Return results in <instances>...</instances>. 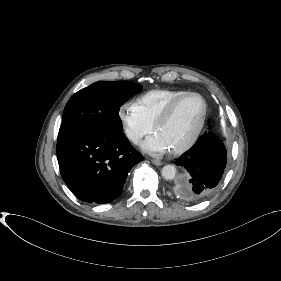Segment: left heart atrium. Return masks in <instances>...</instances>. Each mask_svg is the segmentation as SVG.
I'll return each mask as SVG.
<instances>
[{
	"label": "left heart atrium",
	"instance_id": "left-heart-atrium-1",
	"mask_svg": "<svg viewBox=\"0 0 281 281\" xmlns=\"http://www.w3.org/2000/svg\"><path fill=\"white\" fill-rule=\"evenodd\" d=\"M142 147L146 151L154 152V153H164L169 150L167 145L163 142V140L157 134L148 138L143 143Z\"/></svg>",
	"mask_w": 281,
	"mask_h": 281
}]
</instances>
